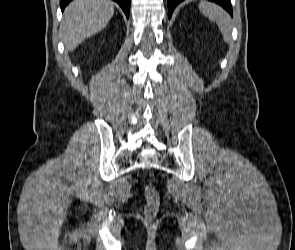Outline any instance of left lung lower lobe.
I'll return each mask as SVG.
<instances>
[{"instance_id":"left-lung-lower-lobe-1","label":"left lung lower lobe","mask_w":295,"mask_h":250,"mask_svg":"<svg viewBox=\"0 0 295 250\" xmlns=\"http://www.w3.org/2000/svg\"><path fill=\"white\" fill-rule=\"evenodd\" d=\"M183 0H168V18H171L174 8ZM221 5L228 13L233 16L230 0H210Z\"/></svg>"}]
</instances>
